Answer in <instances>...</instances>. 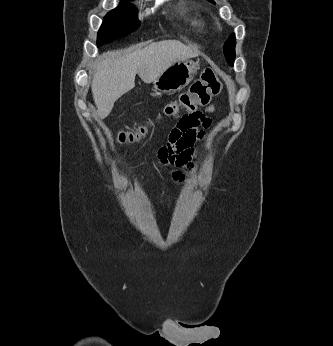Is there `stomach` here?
Returning a JSON list of instances; mask_svg holds the SVG:
<instances>
[{"mask_svg": "<svg viewBox=\"0 0 333 346\" xmlns=\"http://www.w3.org/2000/svg\"><path fill=\"white\" fill-rule=\"evenodd\" d=\"M198 62L177 61L169 66L154 81V88L161 93H171L185 88L194 78Z\"/></svg>", "mask_w": 333, "mask_h": 346, "instance_id": "1", "label": "stomach"}]
</instances>
